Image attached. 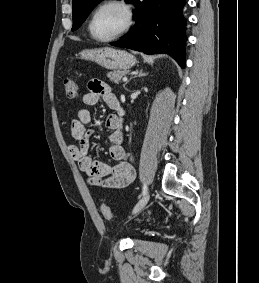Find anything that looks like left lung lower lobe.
Wrapping results in <instances>:
<instances>
[{
	"mask_svg": "<svg viewBox=\"0 0 259 283\" xmlns=\"http://www.w3.org/2000/svg\"><path fill=\"white\" fill-rule=\"evenodd\" d=\"M136 24L112 46L147 54L167 53L185 67V0H134Z\"/></svg>",
	"mask_w": 259,
	"mask_h": 283,
	"instance_id": "1",
	"label": "left lung lower lobe"
}]
</instances>
